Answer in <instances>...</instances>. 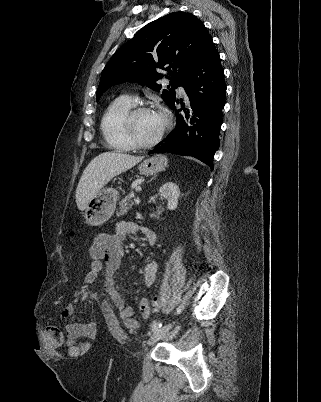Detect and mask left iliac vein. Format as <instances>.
Wrapping results in <instances>:
<instances>
[{
    "label": "left iliac vein",
    "instance_id": "4c4485c4",
    "mask_svg": "<svg viewBox=\"0 0 321 402\" xmlns=\"http://www.w3.org/2000/svg\"><path fill=\"white\" fill-rule=\"evenodd\" d=\"M173 324H166L165 326H163V327L159 328L158 330L154 331L153 334L151 335L149 341H148L149 346H152L157 341L162 339L170 331V329L173 327Z\"/></svg>",
    "mask_w": 321,
    "mask_h": 402
}]
</instances>
